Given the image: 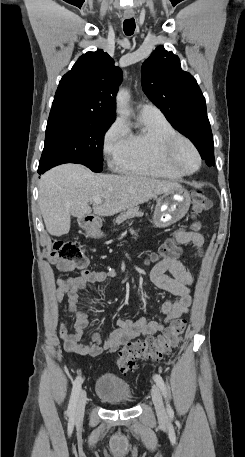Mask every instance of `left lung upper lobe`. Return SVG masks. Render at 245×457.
<instances>
[{
  "label": "left lung upper lobe",
  "mask_w": 245,
  "mask_h": 457,
  "mask_svg": "<svg viewBox=\"0 0 245 457\" xmlns=\"http://www.w3.org/2000/svg\"><path fill=\"white\" fill-rule=\"evenodd\" d=\"M142 87L167 120L196 146L212 135L205 98L178 56L157 47L142 65Z\"/></svg>",
  "instance_id": "5c2ea615"
}]
</instances>
